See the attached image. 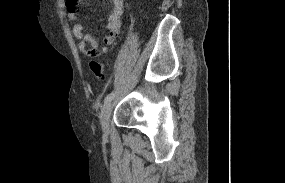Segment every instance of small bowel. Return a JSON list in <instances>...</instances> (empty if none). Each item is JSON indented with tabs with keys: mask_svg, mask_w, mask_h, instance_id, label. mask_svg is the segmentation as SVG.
<instances>
[{
	"mask_svg": "<svg viewBox=\"0 0 285 183\" xmlns=\"http://www.w3.org/2000/svg\"><path fill=\"white\" fill-rule=\"evenodd\" d=\"M111 4V11L106 21L107 35L104 37V44L99 45L97 40L88 33L84 32V27L81 23H77V12L76 10H68L67 16L71 21L76 22L72 27V34L78 40L79 50L90 59L98 58L101 55L107 53L108 45H111L115 42L118 37L120 27H121V18L123 15L124 1L123 0H109ZM76 9L78 6V1H74Z\"/></svg>",
	"mask_w": 285,
	"mask_h": 183,
	"instance_id": "c3829d8e",
	"label": "small bowel"
}]
</instances>
